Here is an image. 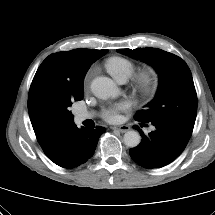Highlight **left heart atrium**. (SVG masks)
Here are the masks:
<instances>
[{
    "instance_id": "39dd6f15",
    "label": "left heart atrium",
    "mask_w": 215,
    "mask_h": 215,
    "mask_svg": "<svg viewBox=\"0 0 215 215\" xmlns=\"http://www.w3.org/2000/svg\"><path fill=\"white\" fill-rule=\"evenodd\" d=\"M128 108L127 103L121 102L106 108L103 112V118L108 122H116L119 119V113Z\"/></svg>"
}]
</instances>
